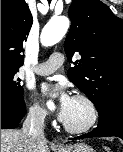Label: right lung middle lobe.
Returning <instances> with one entry per match:
<instances>
[{
    "instance_id": "dd1d6c3e",
    "label": "right lung middle lobe",
    "mask_w": 123,
    "mask_h": 152,
    "mask_svg": "<svg viewBox=\"0 0 123 152\" xmlns=\"http://www.w3.org/2000/svg\"><path fill=\"white\" fill-rule=\"evenodd\" d=\"M18 69L1 67V103L15 106L24 105L23 87L15 76Z\"/></svg>"
}]
</instances>
